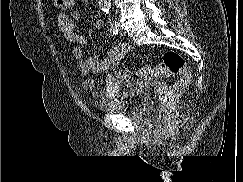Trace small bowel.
Returning <instances> with one entry per match:
<instances>
[{
    "mask_svg": "<svg viewBox=\"0 0 243 182\" xmlns=\"http://www.w3.org/2000/svg\"><path fill=\"white\" fill-rule=\"evenodd\" d=\"M78 12L60 13L57 18L58 27L62 36L73 45V56L78 61V67L84 79L82 87L85 90H94L95 81L90 77L91 74H105L104 91L94 90L93 96H102L112 99L123 93L135 92L139 90L141 84L132 79L130 72L118 69L119 61L127 54L128 45L119 43L108 50L106 57L100 59L97 56H85L83 47L88 45V39L78 34L75 30V21L79 19ZM95 27H104L103 20H97Z\"/></svg>",
    "mask_w": 243,
    "mask_h": 182,
    "instance_id": "small-bowel-1",
    "label": "small bowel"
}]
</instances>
